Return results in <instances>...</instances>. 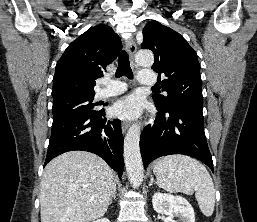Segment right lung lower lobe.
Instances as JSON below:
<instances>
[{
  "instance_id": "obj_1",
  "label": "right lung lower lobe",
  "mask_w": 257,
  "mask_h": 222,
  "mask_svg": "<svg viewBox=\"0 0 257 222\" xmlns=\"http://www.w3.org/2000/svg\"><path fill=\"white\" fill-rule=\"evenodd\" d=\"M73 150L102 157L121 177L124 159L120 120H107L102 110L95 116L70 117L53 123L44 166L54 157Z\"/></svg>"
}]
</instances>
